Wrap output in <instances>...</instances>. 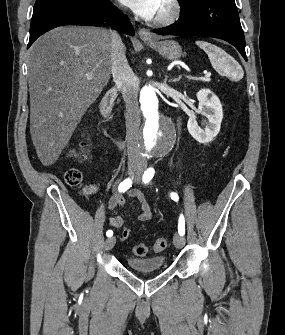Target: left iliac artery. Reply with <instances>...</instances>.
<instances>
[{
	"label": "left iliac artery",
	"instance_id": "44dca946",
	"mask_svg": "<svg viewBox=\"0 0 285 335\" xmlns=\"http://www.w3.org/2000/svg\"><path fill=\"white\" fill-rule=\"evenodd\" d=\"M154 173H155L154 168H148L143 174V178H142L143 182L148 183L153 178ZM171 198L174 201H178V199H179L178 195L176 193H173V192L171 193ZM178 232L182 236L185 234V219H184V216L182 214L179 217Z\"/></svg>",
	"mask_w": 285,
	"mask_h": 335
}]
</instances>
